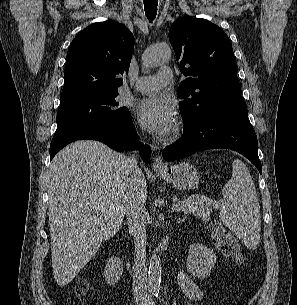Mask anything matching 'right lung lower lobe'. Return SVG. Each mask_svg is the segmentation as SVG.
<instances>
[{
    "label": "right lung lower lobe",
    "mask_w": 297,
    "mask_h": 305,
    "mask_svg": "<svg viewBox=\"0 0 297 305\" xmlns=\"http://www.w3.org/2000/svg\"><path fill=\"white\" fill-rule=\"evenodd\" d=\"M93 139L103 142L116 151H129L138 148L145 162L150 160V148L140 144L131 117L126 122H101L83 126L71 131L58 141L51 142L50 160L67 144L80 140Z\"/></svg>",
    "instance_id": "right-lung-lower-lobe-1"
}]
</instances>
